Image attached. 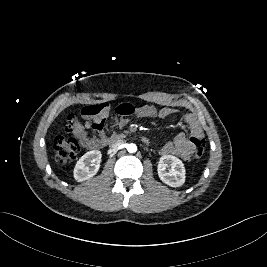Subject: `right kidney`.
Here are the masks:
<instances>
[{
  "instance_id": "right-kidney-1",
  "label": "right kidney",
  "mask_w": 267,
  "mask_h": 267,
  "mask_svg": "<svg viewBox=\"0 0 267 267\" xmlns=\"http://www.w3.org/2000/svg\"><path fill=\"white\" fill-rule=\"evenodd\" d=\"M102 154L99 150H92L85 153L76 163L74 178L83 182L92 178L99 170Z\"/></svg>"
}]
</instances>
